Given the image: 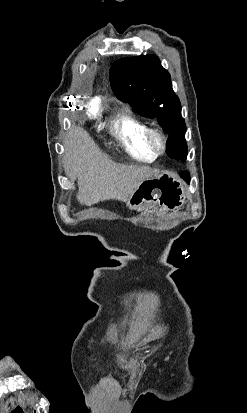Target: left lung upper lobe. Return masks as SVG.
Returning <instances> with one entry per match:
<instances>
[{
    "mask_svg": "<svg viewBox=\"0 0 247 413\" xmlns=\"http://www.w3.org/2000/svg\"><path fill=\"white\" fill-rule=\"evenodd\" d=\"M110 83L119 100L130 103L142 116L156 118L170 134L167 155L185 160L188 151L181 104L172 89L170 74L159 58L144 55L116 61L110 68Z\"/></svg>",
    "mask_w": 247,
    "mask_h": 413,
    "instance_id": "5c2ea615",
    "label": "left lung upper lobe"
}]
</instances>
